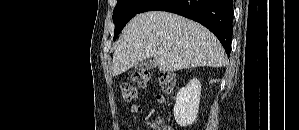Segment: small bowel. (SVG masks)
<instances>
[{
	"label": "small bowel",
	"instance_id": "obj_1",
	"mask_svg": "<svg viewBox=\"0 0 299 130\" xmlns=\"http://www.w3.org/2000/svg\"><path fill=\"white\" fill-rule=\"evenodd\" d=\"M130 111L134 114H140L142 112V107L137 104H133L130 107Z\"/></svg>",
	"mask_w": 299,
	"mask_h": 130
}]
</instances>
